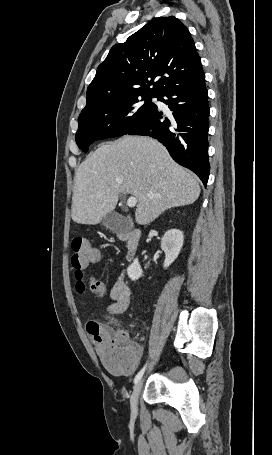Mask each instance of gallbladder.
<instances>
[{
    "instance_id": "bac80fb5",
    "label": "gallbladder",
    "mask_w": 272,
    "mask_h": 455,
    "mask_svg": "<svg viewBox=\"0 0 272 455\" xmlns=\"http://www.w3.org/2000/svg\"><path fill=\"white\" fill-rule=\"evenodd\" d=\"M103 226L116 232L127 233L132 230L133 224L131 220L122 215L110 212L102 220Z\"/></svg>"
}]
</instances>
